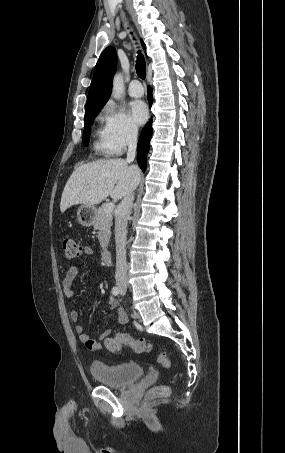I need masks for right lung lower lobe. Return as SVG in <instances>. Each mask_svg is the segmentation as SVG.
I'll return each instance as SVG.
<instances>
[{"mask_svg":"<svg viewBox=\"0 0 285 453\" xmlns=\"http://www.w3.org/2000/svg\"><path fill=\"white\" fill-rule=\"evenodd\" d=\"M148 100L150 106L152 105V90L150 87H148ZM152 120L148 122L143 129L139 141H138V146H137V154H138V164L140 168L142 169L143 172L146 170V157L147 153L150 148V139L152 136V125H151Z\"/></svg>","mask_w":285,"mask_h":453,"instance_id":"right-lung-lower-lobe-1","label":"right lung lower lobe"}]
</instances>
